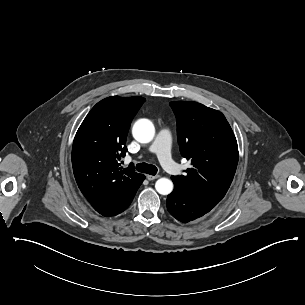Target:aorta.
<instances>
[{
	"label": "aorta",
	"instance_id": "aorta-1",
	"mask_svg": "<svg viewBox=\"0 0 305 305\" xmlns=\"http://www.w3.org/2000/svg\"><path fill=\"white\" fill-rule=\"evenodd\" d=\"M132 134L140 143H149L155 135L153 123L148 119H140L135 122ZM156 191L161 195H168L173 191V182L167 178H160L155 183Z\"/></svg>",
	"mask_w": 305,
	"mask_h": 305
}]
</instances>
